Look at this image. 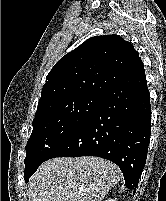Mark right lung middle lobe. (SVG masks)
<instances>
[{"instance_id": "right-lung-middle-lobe-1", "label": "right lung middle lobe", "mask_w": 166, "mask_h": 201, "mask_svg": "<svg viewBox=\"0 0 166 201\" xmlns=\"http://www.w3.org/2000/svg\"><path fill=\"white\" fill-rule=\"evenodd\" d=\"M102 95L87 94L53 105L35 116L33 132L26 145L24 177H29L54 149L95 110Z\"/></svg>"}]
</instances>
